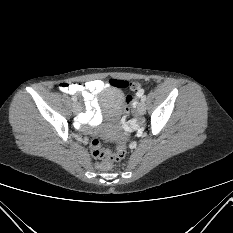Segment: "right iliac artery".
I'll return each mask as SVG.
<instances>
[{"mask_svg": "<svg viewBox=\"0 0 233 233\" xmlns=\"http://www.w3.org/2000/svg\"><path fill=\"white\" fill-rule=\"evenodd\" d=\"M72 101L73 102H76L77 101V98L75 96L72 97Z\"/></svg>", "mask_w": 233, "mask_h": 233, "instance_id": "obj_1", "label": "right iliac artery"}]
</instances>
